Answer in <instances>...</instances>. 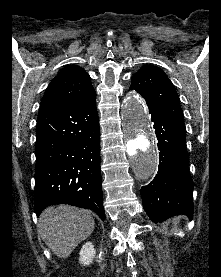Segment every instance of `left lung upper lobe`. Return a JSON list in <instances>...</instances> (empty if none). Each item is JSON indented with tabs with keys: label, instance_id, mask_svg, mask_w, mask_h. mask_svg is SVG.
<instances>
[{
	"label": "left lung upper lobe",
	"instance_id": "5c2ea615",
	"mask_svg": "<svg viewBox=\"0 0 221 277\" xmlns=\"http://www.w3.org/2000/svg\"><path fill=\"white\" fill-rule=\"evenodd\" d=\"M131 82L130 89L136 90L147 103L156 106L175 125L186 131L178 94L161 69L146 65L132 76Z\"/></svg>",
	"mask_w": 221,
	"mask_h": 277
}]
</instances>
